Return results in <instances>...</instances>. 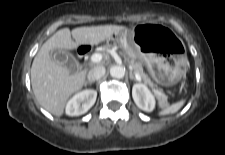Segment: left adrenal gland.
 I'll return each instance as SVG.
<instances>
[{"label":"left adrenal gland","mask_w":225,"mask_h":155,"mask_svg":"<svg viewBox=\"0 0 225 155\" xmlns=\"http://www.w3.org/2000/svg\"><path fill=\"white\" fill-rule=\"evenodd\" d=\"M130 79H131V80H134V81H137V79L134 77L132 71H130Z\"/></svg>","instance_id":"1"}]
</instances>
